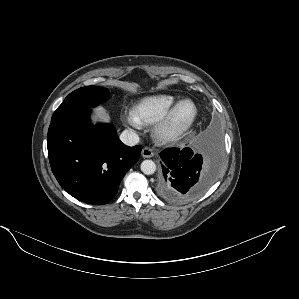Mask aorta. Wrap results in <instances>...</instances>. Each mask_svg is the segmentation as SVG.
I'll use <instances>...</instances> for the list:
<instances>
[{
    "mask_svg": "<svg viewBox=\"0 0 299 299\" xmlns=\"http://www.w3.org/2000/svg\"><path fill=\"white\" fill-rule=\"evenodd\" d=\"M140 167L141 171L146 175H152L156 171V164L152 160H144Z\"/></svg>",
    "mask_w": 299,
    "mask_h": 299,
    "instance_id": "obj_1",
    "label": "aorta"
}]
</instances>
